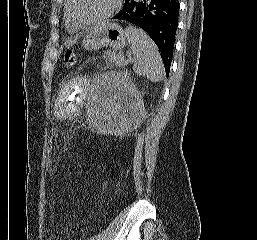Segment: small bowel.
Here are the masks:
<instances>
[{
    "label": "small bowel",
    "instance_id": "obj_1",
    "mask_svg": "<svg viewBox=\"0 0 257 240\" xmlns=\"http://www.w3.org/2000/svg\"><path fill=\"white\" fill-rule=\"evenodd\" d=\"M93 60H95V58H91L89 61H93Z\"/></svg>",
    "mask_w": 257,
    "mask_h": 240
}]
</instances>
